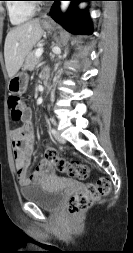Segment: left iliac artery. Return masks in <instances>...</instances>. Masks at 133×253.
I'll use <instances>...</instances> for the list:
<instances>
[{
    "label": "left iliac artery",
    "instance_id": "44dca946",
    "mask_svg": "<svg viewBox=\"0 0 133 253\" xmlns=\"http://www.w3.org/2000/svg\"><path fill=\"white\" fill-rule=\"evenodd\" d=\"M50 132H51L53 135H55L57 131H56L54 128H52V129L50 130Z\"/></svg>",
    "mask_w": 133,
    "mask_h": 253
}]
</instances>
